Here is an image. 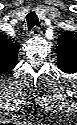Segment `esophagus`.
I'll list each match as a JSON object with an SVG mask.
<instances>
[{
  "instance_id": "esophagus-1",
  "label": "esophagus",
  "mask_w": 77,
  "mask_h": 125,
  "mask_svg": "<svg viewBox=\"0 0 77 125\" xmlns=\"http://www.w3.org/2000/svg\"><path fill=\"white\" fill-rule=\"evenodd\" d=\"M41 31L39 27H35L31 30L30 35L31 36H38L40 35Z\"/></svg>"
}]
</instances>
